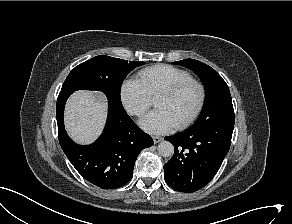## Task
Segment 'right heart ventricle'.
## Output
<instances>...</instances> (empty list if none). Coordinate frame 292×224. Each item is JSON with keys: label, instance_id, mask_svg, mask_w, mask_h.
Wrapping results in <instances>:
<instances>
[{"label": "right heart ventricle", "instance_id": "e07e8e85", "mask_svg": "<svg viewBox=\"0 0 292 224\" xmlns=\"http://www.w3.org/2000/svg\"><path fill=\"white\" fill-rule=\"evenodd\" d=\"M190 78L188 71L167 64L147 67L138 73V80L152 99L163 89Z\"/></svg>", "mask_w": 292, "mask_h": 224}]
</instances>
